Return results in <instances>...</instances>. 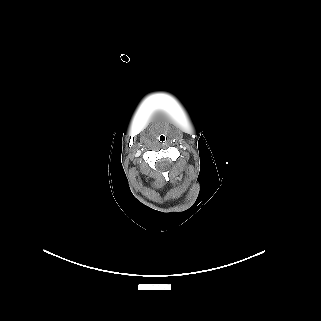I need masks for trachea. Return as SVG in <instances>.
Wrapping results in <instances>:
<instances>
[{"instance_id":"1","label":"trachea","mask_w":321,"mask_h":321,"mask_svg":"<svg viewBox=\"0 0 321 321\" xmlns=\"http://www.w3.org/2000/svg\"><path fill=\"white\" fill-rule=\"evenodd\" d=\"M159 138H160V140L162 141V142H165L166 140H167V137L164 135V133H159Z\"/></svg>"}]
</instances>
